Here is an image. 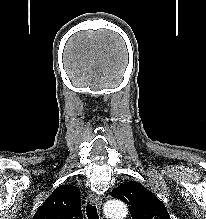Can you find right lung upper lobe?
<instances>
[{"mask_svg": "<svg viewBox=\"0 0 206 219\" xmlns=\"http://www.w3.org/2000/svg\"><path fill=\"white\" fill-rule=\"evenodd\" d=\"M32 219H83L80 191L69 185L59 186Z\"/></svg>", "mask_w": 206, "mask_h": 219, "instance_id": "1", "label": "right lung upper lobe"}]
</instances>
